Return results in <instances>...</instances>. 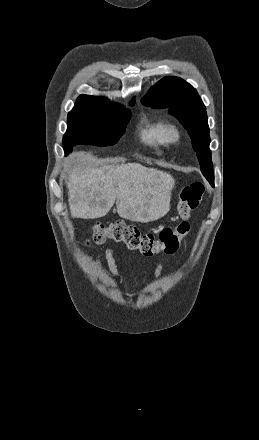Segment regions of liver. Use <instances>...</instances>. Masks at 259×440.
<instances>
[{
	"label": "liver",
	"instance_id": "liver-1",
	"mask_svg": "<svg viewBox=\"0 0 259 440\" xmlns=\"http://www.w3.org/2000/svg\"><path fill=\"white\" fill-rule=\"evenodd\" d=\"M66 185L73 218H101L116 201L120 217L148 223L169 212L175 180L139 163L99 165L93 156L74 152Z\"/></svg>",
	"mask_w": 259,
	"mask_h": 440
}]
</instances>
